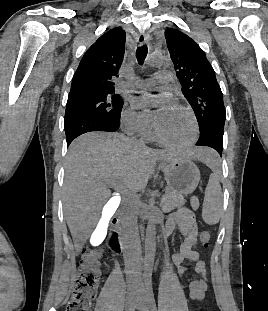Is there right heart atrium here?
<instances>
[{"instance_id":"1","label":"right heart atrium","mask_w":268,"mask_h":311,"mask_svg":"<svg viewBox=\"0 0 268 311\" xmlns=\"http://www.w3.org/2000/svg\"><path fill=\"white\" fill-rule=\"evenodd\" d=\"M123 128L130 133L144 135L151 131L152 122L146 112H136L127 109L122 118Z\"/></svg>"}]
</instances>
